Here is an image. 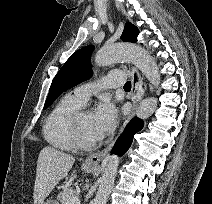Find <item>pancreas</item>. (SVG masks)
<instances>
[{
  "mask_svg": "<svg viewBox=\"0 0 212 204\" xmlns=\"http://www.w3.org/2000/svg\"><path fill=\"white\" fill-rule=\"evenodd\" d=\"M78 195H79V192L77 189L68 187L63 192L58 194L57 199L61 202V204H67V201L70 198L78 197Z\"/></svg>",
  "mask_w": 212,
  "mask_h": 204,
  "instance_id": "cf45deb5",
  "label": "pancreas"
}]
</instances>
